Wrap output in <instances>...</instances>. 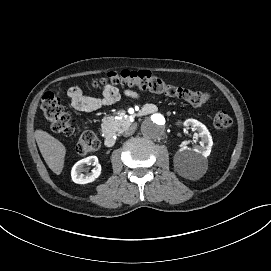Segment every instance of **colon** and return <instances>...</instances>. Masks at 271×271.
Instances as JSON below:
<instances>
[{"label":"colon","mask_w":271,"mask_h":271,"mask_svg":"<svg viewBox=\"0 0 271 271\" xmlns=\"http://www.w3.org/2000/svg\"><path fill=\"white\" fill-rule=\"evenodd\" d=\"M102 84H120L137 86L142 90L171 98L183 100L194 106L206 105L210 94L206 91H196L172 85L154 76L149 71L123 70L120 73L111 72L100 80ZM45 118L50 122L54 132L72 135L76 131L75 121L65 111L57 93L46 92L40 102ZM233 125V118L224 111L217 112L213 118V126L218 131H227ZM99 148L97 136L90 130L83 129L76 145V153L87 156Z\"/></svg>","instance_id":"obj_1"}]
</instances>
